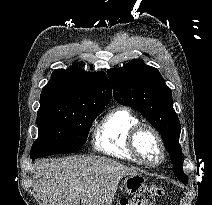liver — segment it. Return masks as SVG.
Wrapping results in <instances>:
<instances>
[{
	"label": "liver",
	"instance_id": "1",
	"mask_svg": "<svg viewBox=\"0 0 212 205\" xmlns=\"http://www.w3.org/2000/svg\"><path fill=\"white\" fill-rule=\"evenodd\" d=\"M133 174L106 158L77 156L39 162L34 178L43 205H111L120 179Z\"/></svg>",
	"mask_w": 212,
	"mask_h": 205
}]
</instances>
